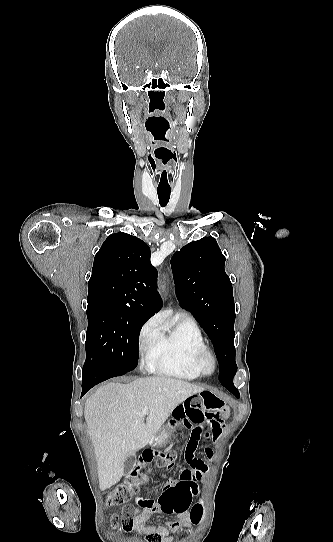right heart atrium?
Masks as SVG:
<instances>
[{"mask_svg":"<svg viewBox=\"0 0 333 542\" xmlns=\"http://www.w3.org/2000/svg\"><path fill=\"white\" fill-rule=\"evenodd\" d=\"M159 337V328L154 320L147 322L140 333L141 346L145 347L153 343Z\"/></svg>","mask_w":333,"mask_h":542,"instance_id":"right-heart-atrium-1","label":"right heart atrium"}]
</instances>
